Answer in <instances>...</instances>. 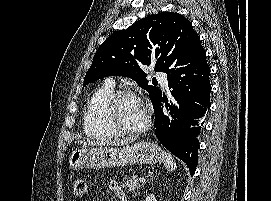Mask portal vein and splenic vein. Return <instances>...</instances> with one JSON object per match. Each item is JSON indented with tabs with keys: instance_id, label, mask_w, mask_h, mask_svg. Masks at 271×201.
Masks as SVG:
<instances>
[{
	"instance_id": "18ae733b",
	"label": "portal vein and splenic vein",
	"mask_w": 271,
	"mask_h": 201,
	"mask_svg": "<svg viewBox=\"0 0 271 201\" xmlns=\"http://www.w3.org/2000/svg\"><path fill=\"white\" fill-rule=\"evenodd\" d=\"M140 182H145V178H139Z\"/></svg>"
}]
</instances>
